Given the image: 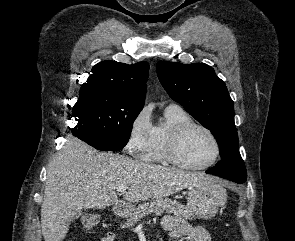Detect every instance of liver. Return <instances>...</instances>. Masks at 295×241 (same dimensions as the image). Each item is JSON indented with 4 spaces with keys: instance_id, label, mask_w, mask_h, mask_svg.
Here are the masks:
<instances>
[{
    "instance_id": "obj_1",
    "label": "liver",
    "mask_w": 295,
    "mask_h": 241,
    "mask_svg": "<svg viewBox=\"0 0 295 241\" xmlns=\"http://www.w3.org/2000/svg\"><path fill=\"white\" fill-rule=\"evenodd\" d=\"M210 177L149 164L127 156L100 153L81 140L68 137L47 168L41 206L44 241H62L75 210L104 209L118 202L116 189L130 185L127 202L161 199Z\"/></svg>"
}]
</instances>
